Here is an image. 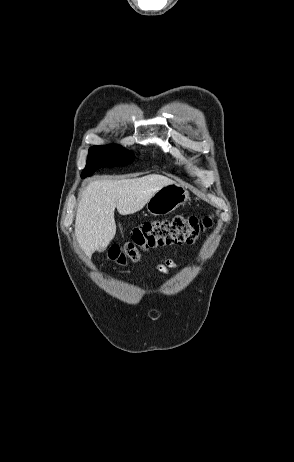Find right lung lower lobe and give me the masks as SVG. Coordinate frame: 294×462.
Segmentation results:
<instances>
[{
	"mask_svg": "<svg viewBox=\"0 0 294 462\" xmlns=\"http://www.w3.org/2000/svg\"><path fill=\"white\" fill-rule=\"evenodd\" d=\"M119 165L120 163L117 162L114 158H111L110 156L99 153L88 159L87 161L88 172L81 174V177L82 178L88 177L92 175L95 172V170L102 168V167H114V166H119Z\"/></svg>",
	"mask_w": 294,
	"mask_h": 462,
	"instance_id": "right-lung-lower-lobe-1",
	"label": "right lung lower lobe"
}]
</instances>
